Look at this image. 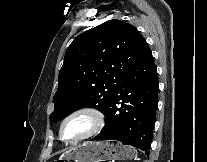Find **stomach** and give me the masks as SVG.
Masks as SVG:
<instances>
[{
	"instance_id": "1",
	"label": "stomach",
	"mask_w": 207,
	"mask_h": 162,
	"mask_svg": "<svg viewBox=\"0 0 207 162\" xmlns=\"http://www.w3.org/2000/svg\"><path fill=\"white\" fill-rule=\"evenodd\" d=\"M135 150L122 143L111 141L85 142L62 155L58 160L75 162H103L106 160H131ZM60 162V161H58Z\"/></svg>"
}]
</instances>
